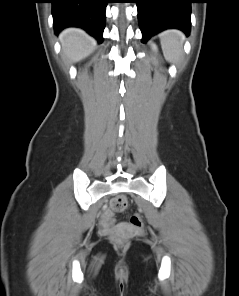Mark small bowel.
<instances>
[{"mask_svg": "<svg viewBox=\"0 0 239 296\" xmlns=\"http://www.w3.org/2000/svg\"><path fill=\"white\" fill-rule=\"evenodd\" d=\"M113 222V213L111 211H106L103 216V223L110 225Z\"/></svg>", "mask_w": 239, "mask_h": 296, "instance_id": "c3829d8e", "label": "small bowel"}]
</instances>
